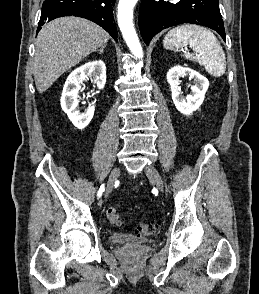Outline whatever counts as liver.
<instances>
[{
    "label": "liver",
    "instance_id": "liver-1",
    "mask_svg": "<svg viewBox=\"0 0 259 294\" xmlns=\"http://www.w3.org/2000/svg\"><path fill=\"white\" fill-rule=\"evenodd\" d=\"M109 39L103 28L83 18L61 17L49 22L36 42L33 74L38 92H45L64 72Z\"/></svg>",
    "mask_w": 259,
    "mask_h": 294
}]
</instances>
